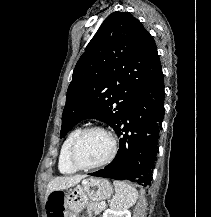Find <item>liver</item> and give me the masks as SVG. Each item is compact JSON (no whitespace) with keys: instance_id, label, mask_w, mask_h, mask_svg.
I'll return each mask as SVG.
<instances>
[{"instance_id":"6515ba94","label":"liver","mask_w":211,"mask_h":217,"mask_svg":"<svg viewBox=\"0 0 211 217\" xmlns=\"http://www.w3.org/2000/svg\"><path fill=\"white\" fill-rule=\"evenodd\" d=\"M85 175L59 176L51 180L47 186L46 200L53 191H61L78 184Z\"/></svg>"}]
</instances>
